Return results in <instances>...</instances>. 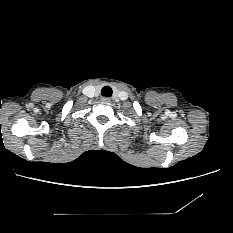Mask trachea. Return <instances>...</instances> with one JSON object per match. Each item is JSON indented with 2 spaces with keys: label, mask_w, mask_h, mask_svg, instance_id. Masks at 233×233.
I'll return each instance as SVG.
<instances>
[{
  "label": "trachea",
  "mask_w": 233,
  "mask_h": 233,
  "mask_svg": "<svg viewBox=\"0 0 233 233\" xmlns=\"http://www.w3.org/2000/svg\"><path fill=\"white\" fill-rule=\"evenodd\" d=\"M112 93H113L112 88L109 87V86H104V87L101 89V94H102V96L111 97Z\"/></svg>",
  "instance_id": "trachea-1"
}]
</instances>
